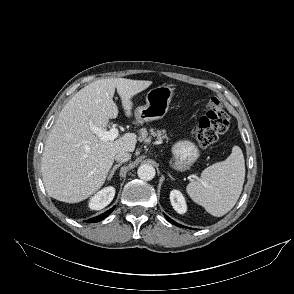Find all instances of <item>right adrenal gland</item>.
<instances>
[{"label":"right adrenal gland","instance_id":"1","mask_svg":"<svg viewBox=\"0 0 294 294\" xmlns=\"http://www.w3.org/2000/svg\"><path fill=\"white\" fill-rule=\"evenodd\" d=\"M122 164L119 163V164H116L113 166L112 170H111V173L109 174L108 176V181H110L115 173V171L117 170V168H119Z\"/></svg>","mask_w":294,"mask_h":294}]
</instances>
